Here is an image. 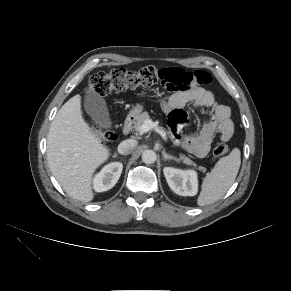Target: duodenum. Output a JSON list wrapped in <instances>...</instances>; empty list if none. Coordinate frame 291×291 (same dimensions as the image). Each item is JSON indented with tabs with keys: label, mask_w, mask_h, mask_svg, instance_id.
Masks as SVG:
<instances>
[{
	"label": "duodenum",
	"mask_w": 291,
	"mask_h": 291,
	"mask_svg": "<svg viewBox=\"0 0 291 291\" xmlns=\"http://www.w3.org/2000/svg\"><path fill=\"white\" fill-rule=\"evenodd\" d=\"M134 119L135 117L133 114H129L126 117L122 127V132L124 135H128L130 133Z\"/></svg>",
	"instance_id": "410a0bca"
}]
</instances>
